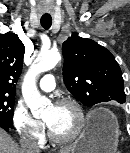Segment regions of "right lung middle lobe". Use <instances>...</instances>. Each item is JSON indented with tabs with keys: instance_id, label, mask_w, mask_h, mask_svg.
Here are the masks:
<instances>
[{
	"instance_id": "right-lung-middle-lobe-1",
	"label": "right lung middle lobe",
	"mask_w": 130,
	"mask_h": 153,
	"mask_svg": "<svg viewBox=\"0 0 130 153\" xmlns=\"http://www.w3.org/2000/svg\"><path fill=\"white\" fill-rule=\"evenodd\" d=\"M15 96L0 94V121L13 128Z\"/></svg>"
}]
</instances>
